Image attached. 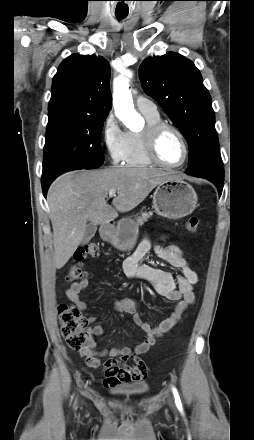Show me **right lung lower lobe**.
I'll list each match as a JSON object with an SVG mask.
<instances>
[{
    "label": "right lung lower lobe",
    "mask_w": 254,
    "mask_h": 440,
    "mask_svg": "<svg viewBox=\"0 0 254 440\" xmlns=\"http://www.w3.org/2000/svg\"><path fill=\"white\" fill-rule=\"evenodd\" d=\"M49 185H50V183H42L44 197H46V193H47V189H48Z\"/></svg>",
    "instance_id": "obj_1"
}]
</instances>
